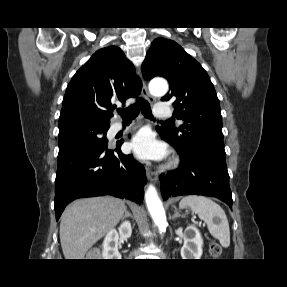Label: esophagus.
I'll list each match as a JSON object with an SVG mask.
<instances>
[{
    "instance_id": "obj_1",
    "label": "esophagus",
    "mask_w": 287,
    "mask_h": 287,
    "mask_svg": "<svg viewBox=\"0 0 287 287\" xmlns=\"http://www.w3.org/2000/svg\"><path fill=\"white\" fill-rule=\"evenodd\" d=\"M142 94L148 99V101L153 104L155 102V98L149 93L147 85L145 83V81L143 80L142 83ZM146 175L148 180H150L151 182L155 183L158 180V173L151 170L148 166H146Z\"/></svg>"
}]
</instances>
